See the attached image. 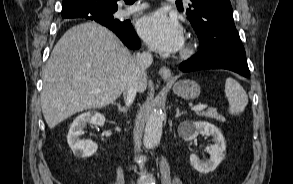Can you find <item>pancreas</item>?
Segmentation results:
<instances>
[{
	"mask_svg": "<svg viewBox=\"0 0 293 184\" xmlns=\"http://www.w3.org/2000/svg\"><path fill=\"white\" fill-rule=\"evenodd\" d=\"M200 115L208 117V118L216 119L222 122L225 121V118L222 115H219L216 109H209L208 111L203 112Z\"/></svg>",
	"mask_w": 293,
	"mask_h": 184,
	"instance_id": "1",
	"label": "pancreas"
}]
</instances>
